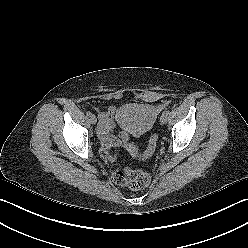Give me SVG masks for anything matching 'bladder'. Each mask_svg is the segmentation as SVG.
<instances>
[{
    "mask_svg": "<svg viewBox=\"0 0 248 248\" xmlns=\"http://www.w3.org/2000/svg\"><path fill=\"white\" fill-rule=\"evenodd\" d=\"M117 118L120 125L127 127L136 135H142L152 129L157 115L150 104L129 103L117 110Z\"/></svg>",
    "mask_w": 248,
    "mask_h": 248,
    "instance_id": "31cf9c89",
    "label": "bladder"
}]
</instances>
